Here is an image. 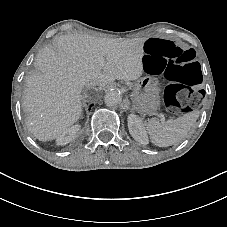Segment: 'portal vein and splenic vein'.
Here are the masks:
<instances>
[{
	"label": "portal vein and splenic vein",
	"mask_w": 227,
	"mask_h": 227,
	"mask_svg": "<svg viewBox=\"0 0 227 227\" xmlns=\"http://www.w3.org/2000/svg\"><path fill=\"white\" fill-rule=\"evenodd\" d=\"M160 117H161V120H162V121H165V117H164L163 114H160Z\"/></svg>",
	"instance_id": "1"
}]
</instances>
